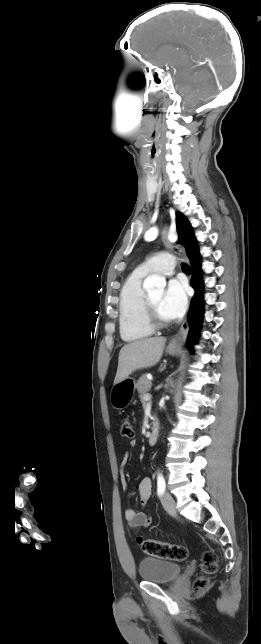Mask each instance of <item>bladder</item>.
<instances>
[{
  "label": "bladder",
  "instance_id": "bladder-1",
  "mask_svg": "<svg viewBox=\"0 0 261 644\" xmlns=\"http://www.w3.org/2000/svg\"><path fill=\"white\" fill-rule=\"evenodd\" d=\"M180 564L158 558H144L139 562L138 573L143 581L169 583L181 573Z\"/></svg>",
  "mask_w": 261,
  "mask_h": 644
}]
</instances>
